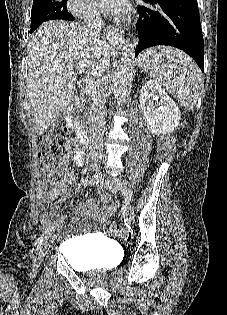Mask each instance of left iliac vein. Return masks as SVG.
<instances>
[{
	"instance_id": "left-iliac-vein-1",
	"label": "left iliac vein",
	"mask_w": 227,
	"mask_h": 315,
	"mask_svg": "<svg viewBox=\"0 0 227 315\" xmlns=\"http://www.w3.org/2000/svg\"><path fill=\"white\" fill-rule=\"evenodd\" d=\"M116 179V178H115ZM102 184L105 185V187L107 189H109L112 193H116L117 191H123L126 190L129 193H133L132 190L125 184H123V182L120 180V185H117L115 183L114 179H108L105 178L102 181ZM124 213H125V217L127 219V221H132L134 218V208L131 205L130 201H127V203L124 206Z\"/></svg>"
}]
</instances>
